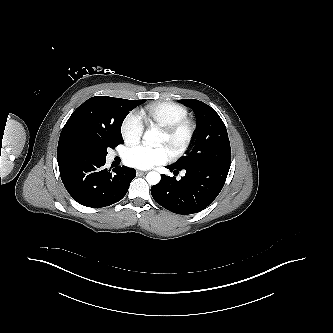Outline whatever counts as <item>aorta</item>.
I'll return each instance as SVG.
<instances>
[{"mask_svg": "<svg viewBox=\"0 0 333 333\" xmlns=\"http://www.w3.org/2000/svg\"><path fill=\"white\" fill-rule=\"evenodd\" d=\"M162 139V133L157 129H150L145 131L143 140L145 143L152 145L160 142ZM161 176L158 172L151 171L147 174L146 180L150 185H156L160 182Z\"/></svg>", "mask_w": 333, "mask_h": 333, "instance_id": "762f6f07", "label": "aorta"}]
</instances>
